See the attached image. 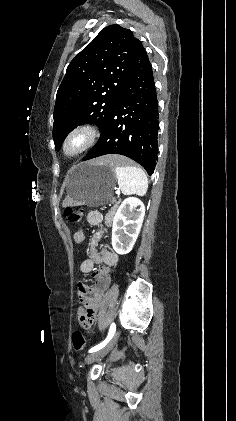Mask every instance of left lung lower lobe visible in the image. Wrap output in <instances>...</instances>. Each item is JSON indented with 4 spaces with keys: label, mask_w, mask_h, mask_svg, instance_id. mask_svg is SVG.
Masks as SVG:
<instances>
[{
    "label": "left lung lower lobe",
    "mask_w": 236,
    "mask_h": 421,
    "mask_svg": "<svg viewBox=\"0 0 236 421\" xmlns=\"http://www.w3.org/2000/svg\"><path fill=\"white\" fill-rule=\"evenodd\" d=\"M158 100L151 63L143 46L109 117L98 143L83 161L106 154L127 156L152 175L158 154Z\"/></svg>",
    "instance_id": "0a47b994"
}]
</instances>
